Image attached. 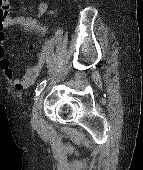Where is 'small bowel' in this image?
I'll return each instance as SVG.
<instances>
[{
    "label": "small bowel",
    "mask_w": 143,
    "mask_h": 170,
    "mask_svg": "<svg viewBox=\"0 0 143 170\" xmlns=\"http://www.w3.org/2000/svg\"><path fill=\"white\" fill-rule=\"evenodd\" d=\"M47 9V3H40L38 6L37 17H41ZM14 26L22 27L30 34H44L47 27L39 24L37 18L32 16H13L8 14L6 17L0 19V67L2 68L5 76L12 82L15 89L24 90L32 86L36 78L40 75L46 55H40L38 61L34 65L28 67L21 78H16L15 72L8 59L5 57L3 50V43L6 37L5 30Z\"/></svg>",
    "instance_id": "1"
}]
</instances>
